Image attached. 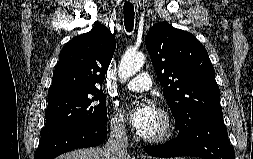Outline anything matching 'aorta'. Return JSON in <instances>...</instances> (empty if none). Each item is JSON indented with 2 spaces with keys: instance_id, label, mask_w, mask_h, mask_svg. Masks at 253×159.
<instances>
[{
  "instance_id": "1",
  "label": "aorta",
  "mask_w": 253,
  "mask_h": 159,
  "mask_svg": "<svg viewBox=\"0 0 253 159\" xmlns=\"http://www.w3.org/2000/svg\"><path fill=\"white\" fill-rule=\"evenodd\" d=\"M145 63V56L139 52L127 51L119 64V77L127 80L133 76Z\"/></svg>"
}]
</instances>
